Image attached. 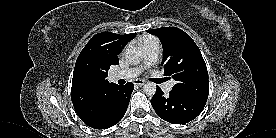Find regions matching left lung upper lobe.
Listing matches in <instances>:
<instances>
[{"label": "left lung upper lobe", "mask_w": 276, "mask_h": 138, "mask_svg": "<svg viewBox=\"0 0 276 138\" xmlns=\"http://www.w3.org/2000/svg\"><path fill=\"white\" fill-rule=\"evenodd\" d=\"M148 32L157 36L162 43L164 75L177 81L172 92L206 103L209 93L208 72L192 38L176 27H162Z\"/></svg>", "instance_id": "left-lung-upper-lobe-1"}]
</instances>
